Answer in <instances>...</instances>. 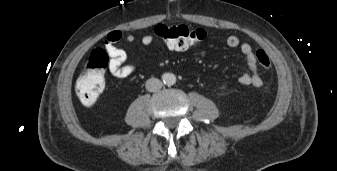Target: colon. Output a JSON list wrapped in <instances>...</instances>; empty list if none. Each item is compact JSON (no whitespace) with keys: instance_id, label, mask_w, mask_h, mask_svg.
Instances as JSON below:
<instances>
[{"instance_id":"1","label":"colon","mask_w":337,"mask_h":171,"mask_svg":"<svg viewBox=\"0 0 337 171\" xmlns=\"http://www.w3.org/2000/svg\"><path fill=\"white\" fill-rule=\"evenodd\" d=\"M155 34L161 38L171 53L194 46L204 40L206 32L202 28H192L187 25L158 24ZM255 57L260 67L268 71L271 61L265 51L258 49ZM108 66V55L100 48L94 49L86 62L85 68L76 81V92L84 106L94 105L105 88V70Z\"/></svg>"}]
</instances>
